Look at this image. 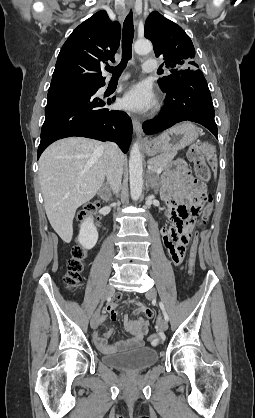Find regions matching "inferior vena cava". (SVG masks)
Returning <instances> with one entry per match:
<instances>
[{"mask_svg":"<svg viewBox=\"0 0 255 418\" xmlns=\"http://www.w3.org/2000/svg\"><path fill=\"white\" fill-rule=\"evenodd\" d=\"M105 173L107 181L113 192H118L123 174V161L121 151L115 143L105 144Z\"/></svg>","mask_w":255,"mask_h":418,"instance_id":"inferior-vena-cava-1","label":"inferior vena cava"}]
</instances>
